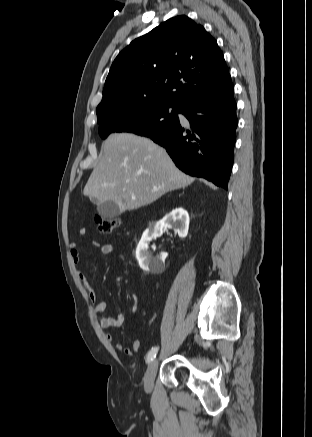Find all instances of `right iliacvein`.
Instances as JSON below:
<instances>
[{
	"instance_id": "obj_1",
	"label": "right iliac vein",
	"mask_w": 312,
	"mask_h": 437,
	"mask_svg": "<svg viewBox=\"0 0 312 437\" xmlns=\"http://www.w3.org/2000/svg\"><path fill=\"white\" fill-rule=\"evenodd\" d=\"M157 369H158V360L154 359L149 364L144 377V387L147 392H150L152 390Z\"/></svg>"
}]
</instances>
